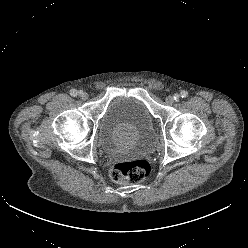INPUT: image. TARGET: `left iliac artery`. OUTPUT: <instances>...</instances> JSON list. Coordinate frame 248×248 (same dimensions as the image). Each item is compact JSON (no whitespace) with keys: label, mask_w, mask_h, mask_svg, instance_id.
Instances as JSON below:
<instances>
[{"label":"left iliac artery","mask_w":248,"mask_h":248,"mask_svg":"<svg viewBox=\"0 0 248 248\" xmlns=\"http://www.w3.org/2000/svg\"><path fill=\"white\" fill-rule=\"evenodd\" d=\"M188 96V92L187 91H181L180 95L175 94L174 95V99L177 101L179 100L180 97L182 98H186Z\"/></svg>","instance_id":"left-iliac-artery-1"}]
</instances>
